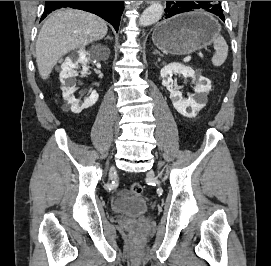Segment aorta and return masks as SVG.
<instances>
[{"label": "aorta", "instance_id": "obj_1", "mask_svg": "<svg viewBox=\"0 0 271 266\" xmlns=\"http://www.w3.org/2000/svg\"><path fill=\"white\" fill-rule=\"evenodd\" d=\"M164 12V7L160 3H153L148 8H146L139 18L140 26H149L156 23L162 17Z\"/></svg>", "mask_w": 271, "mask_h": 266}]
</instances>
